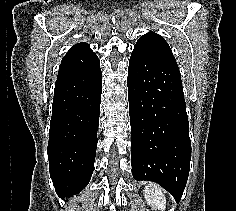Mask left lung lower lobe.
Segmentation results:
<instances>
[{
	"label": "left lung lower lobe",
	"instance_id": "left-lung-lower-lobe-1",
	"mask_svg": "<svg viewBox=\"0 0 236 211\" xmlns=\"http://www.w3.org/2000/svg\"><path fill=\"white\" fill-rule=\"evenodd\" d=\"M132 175L160 184L178 203L189 175L191 143L175 61L134 48L128 68Z\"/></svg>",
	"mask_w": 236,
	"mask_h": 211
}]
</instances>
